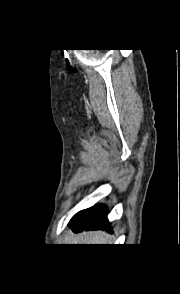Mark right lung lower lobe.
Wrapping results in <instances>:
<instances>
[{"instance_id":"1","label":"right lung lower lobe","mask_w":180,"mask_h":294,"mask_svg":"<svg viewBox=\"0 0 180 294\" xmlns=\"http://www.w3.org/2000/svg\"><path fill=\"white\" fill-rule=\"evenodd\" d=\"M107 209L104 206H94L90 209L77 213L69 222L74 231L108 229L110 224L107 220Z\"/></svg>"}]
</instances>
